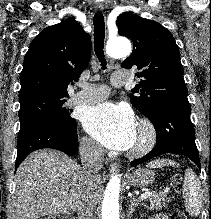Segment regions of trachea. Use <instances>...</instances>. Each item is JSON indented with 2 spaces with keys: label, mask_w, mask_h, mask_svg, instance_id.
<instances>
[{
  "label": "trachea",
  "mask_w": 211,
  "mask_h": 219,
  "mask_svg": "<svg viewBox=\"0 0 211 219\" xmlns=\"http://www.w3.org/2000/svg\"><path fill=\"white\" fill-rule=\"evenodd\" d=\"M94 50L99 61L101 62L102 69H106V59L104 56V38H105V23L102 12L94 15Z\"/></svg>",
  "instance_id": "1"
}]
</instances>
